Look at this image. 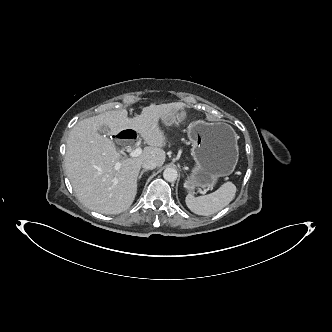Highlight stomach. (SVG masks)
<instances>
[{
	"label": "stomach",
	"instance_id": "0dacf381",
	"mask_svg": "<svg viewBox=\"0 0 332 332\" xmlns=\"http://www.w3.org/2000/svg\"><path fill=\"white\" fill-rule=\"evenodd\" d=\"M186 118L185 109L174 113V117L162 118L165 126L181 123ZM188 137L192 142L191 154L195 165L187 175L184 187L194 193L195 189H212L218 178L233 173L239 148L234 129L226 123L207 124L195 121L188 126Z\"/></svg>",
	"mask_w": 332,
	"mask_h": 332
}]
</instances>
